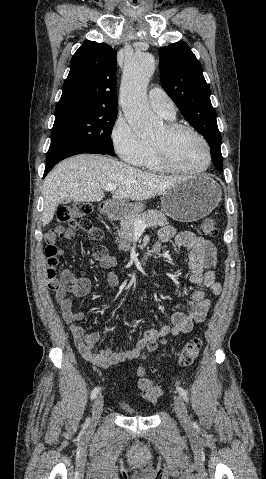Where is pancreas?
<instances>
[{"mask_svg": "<svg viewBox=\"0 0 266 479\" xmlns=\"http://www.w3.org/2000/svg\"><path fill=\"white\" fill-rule=\"evenodd\" d=\"M137 219L155 227L169 224L164 213L158 210H149L141 214H128L121 220L120 230L117 231L118 237L116 238V242L119 244V250H123L124 252L130 250L135 232L134 222Z\"/></svg>", "mask_w": 266, "mask_h": 479, "instance_id": "cf45deb5", "label": "pancreas"}]
</instances>
